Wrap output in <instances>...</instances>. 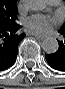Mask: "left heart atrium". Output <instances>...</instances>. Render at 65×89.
Listing matches in <instances>:
<instances>
[{"label": "left heart atrium", "mask_w": 65, "mask_h": 89, "mask_svg": "<svg viewBox=\"0 0 65 89\" xmlns=\"http://www.w3.org/2000/svg\"><path fill=\"white\" fill-rule=\"evenodd\" d=\"M24 24L31 33L46 35L58 24V20L51 16L36 14L28 17Z\"/></svg>", "instance_id": "obj_1"}]
</instances>
